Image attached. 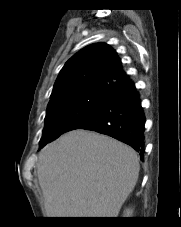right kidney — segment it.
<instances>
[{"mask_svg":"<svg viewBox=\"0 0 181 227\" xmlns=\"http://www.w3.org/2000/svg\"><path fill=\"white\" fill-rule=\"evenodd\" d=\"M132 212H133L132 209H127V210L125 211L124 217H131Z\"/></svg>","mask_w":181,"mask_h":227,"instance_id":"ca27d5eb","label":"right kidney"}]
</instances>
